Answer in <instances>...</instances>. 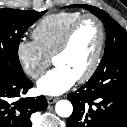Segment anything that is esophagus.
Segmentation results:
<instances>
[{"instance_id":"esophagus-1","label":"esophagus","mask_w":127,"mask_h":127,"mask_svg":"<svg viewBox=\"0 0 127 127\" xmlns=\"http://www.w3.org/2000/svg\"><path fill=\"white\" fill-rule=\"evenodd\" d=\"M58 100V98H54V97H48L47 98V102L48 104H53Z\"/></svg>"}]
</instances>
